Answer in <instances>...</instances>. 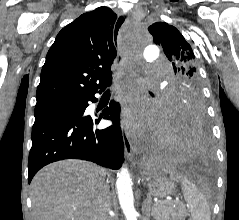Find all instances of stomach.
<instances>
[{
    "label": "stomach",
    "instance_id": "obj_1",
    "mask_svg": "<svg viewBox=\"0 0 239 220\" xmlns=\"http://www.w3.org/2000/svg\"><path fill=\"white\" fill-rule=\"evenodd\" d=\"M147 187L152 196L159 198L172 195L176 192L175 184L167 178H149Z\"/></svg>",
    "mask_w": 239,
    "mask_h": 220
}]
</instances>
